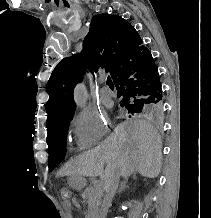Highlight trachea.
<instances>
[{
    "instance_id": "3493384b",
    "label": "trachea",
    "mask_w": 211,
    "mask_h": 218,
    "mask_svg": "<svg viewBox=\"0 0 211 218\" xmlns=\"http://www.w3.org/2000/svg\"><path fill=\"white\" fill-rule=\"evenodd\" d=\"M106 83H107V84H111V83H113L110 77H107V81H106Z\"/></svg>"
}]
</instances>
